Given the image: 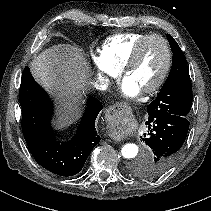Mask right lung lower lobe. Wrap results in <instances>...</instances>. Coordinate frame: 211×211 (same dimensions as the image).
Masks as SVG:
<instances>
[{"label":"right lung lower lobe","instance_id":"obj_1","mask_svg":"<svg viewBox=\"0 0 211 211\" xmlns=\"http://www.w3.org/2000/svg\"><path fill=\"white\" fill-rule=\"evenodd\" d=\"M22 132L36 162L60 176H72L83 168L92 149L100 142L95 120L102 103L89 98L82 122L68 142L57 141L51 127L53 104L25 67L19 91Z\"/></svg>","mask_w":211,"mask_h":211}]
</instances>
